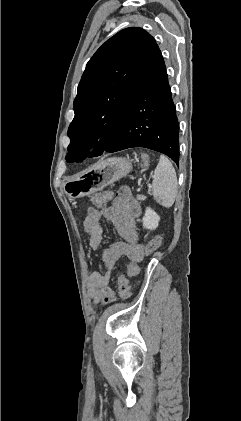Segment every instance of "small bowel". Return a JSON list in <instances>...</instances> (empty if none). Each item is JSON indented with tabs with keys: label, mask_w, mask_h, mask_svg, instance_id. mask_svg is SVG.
<instances>
[{
	"label": "small bowel",
	"mask_w": 241,
	"mask_h": 421,
	"mask_svg": "<svg viewBox=\"0 0 241 421\" xmlns=\"http://www.w3.org/2000/svg\"><path fill=\"white\" fill-rule=\"evenodd\" d=\"M140 213L139 202L126 186L119 189L116 198L110 206L90 208L88 210L83 226L89 236V244L93 250H98L102 244V219L111 221L123 239L103 250L102 262L106 271H95L89 275L88 293L96 306L109 304L116 300L115 292L109 287L111 271L116 262L122 257L137 262L143 258L144 246L139 242L135 224V219Z\"/></svg>",
	"instance_id": "small-bowel-1"
}]
</instances>
